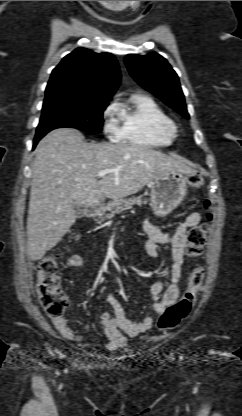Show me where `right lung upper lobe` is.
Masks as SVG:
<instances>
[{"label":"right lung upper lobe","instance_id":"obj_1","mask_svg":"<svg viewBox=\"0 0 242 416\" xmlns=\"http://www.w3.org/2000/svg\"><path fill=\"white\" fill-rule=\"evenodd\" d=\"M120 78L119 66L112 54L77 48L53 69L45 95L111 99Z\"/></svg>","mask_w":242,"mask_h":416}]
</instances>
